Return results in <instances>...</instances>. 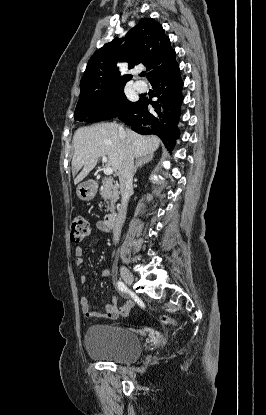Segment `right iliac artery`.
<instances>
[{"instance_id":"obj_1","label":"right iliac artery","mask_w":266,"mask_h":415,"mask_svg":"<svg viewBox=\"0 0 266 415\" xmlns=\"http://www.w3.org/2000/svg\"><path fill=\"white\" fill-rule=\"evenodd\" d=\"M117 287L122 292H126L127 291V287H126V285L122 281H118L117 282Z\"/></svg>"}]
</instances>
